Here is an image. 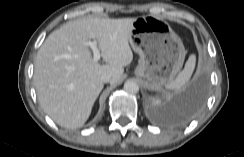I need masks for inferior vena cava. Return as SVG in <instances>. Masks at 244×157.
Returning a JSON list of instances; mask_svg holds the SVG:
<instances>
[{
  "label": "inferior vena cava",
  "instance_id": "inferior-vena-cava-1",
  "mask_svg": "<svg viewBox=\"0 0 244 157\" xmlns=\"http://www.w3.org/2000/svg\"><path fill=\"white\" fill-rule=\"evenodd\" d=\"M111 80V75L109 73H104L101 75V81L107 83Z\"/></svg>",
  "mask_w": 244,
  "mask_h": 157
}]
</instances>
